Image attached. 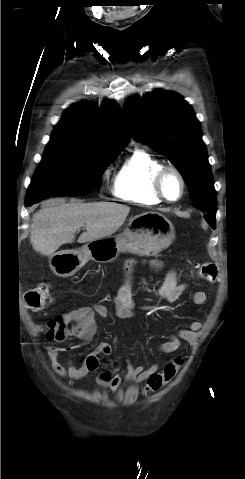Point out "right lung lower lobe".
I'll return each mask as SVG.
<instances>
[{
    "mask_svg": "<svg viewBox=\"0 0 245 479\" xmlns=\"http://www.w3.org/2000/svg\"><path fill=\"white\" fill-rule=\"evenodd\" d=\"M33 203H36V202H26L25 205H26L27 207H29V206H31Z\"/></svg>",
    "mask_w": 245,
    "mask_h": 479,
    "instance_id": "right-lung-lower-lobe-1",
    "label": "right lung lower lobe"
}]
</instances>
